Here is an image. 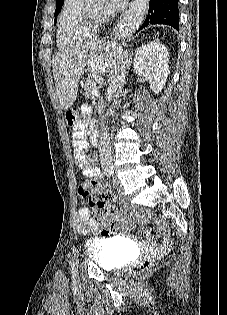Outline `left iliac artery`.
I'll list each match as a JSON object with an SVG mask.
<instances>
[{"label":"left iliac artery","mask_w":227,"mask_h":315,"mask_svg":"<svg viewBox=\"0 0 227 315\" xmlns=\"http://www.w3.org/2000/svg\"><path fill=\"white\" fill-rule=\"evenodd\" d=\"M106 176H107L108 178H110L112 175L109 174V173H106ZM71 268H72V273L75 274V273H76V269H75V264H74V262L71 263Z\"/></svg>","instance_id":"1"}]
</instances>
